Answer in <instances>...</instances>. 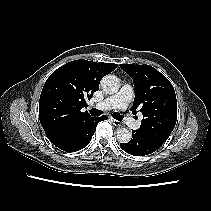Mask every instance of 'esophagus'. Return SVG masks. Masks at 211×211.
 Here are the masks:
<instances>
[{
    "instance_id": "34e87169",
    "label": "esophagus",
    "mask_w": 211,
    "mask_h": 211,
    "mask_svg": "<svg viewBox=\"0 0 211 211\" xmlns=\"http://www.w3.org/2000/svg\"><path fill=\"white\" fill-rule=\"evenodd\" d=\"M112 123L114 126L118 127V126H121V122L116 120V119H112Z\"/></svg>"
}]
</instances>
